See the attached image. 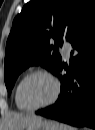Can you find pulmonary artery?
I'll use <instances>...</instances> for the list:
<instances>
[{
	"mask_svg": "<svg viewBox=\"0 0 95 130\" xmlns=\"http://www.w3.org/2000/svg\"><path fill=\"white\" fill-rule=\"evenodd\" d=\"M69 50H70V43L64 41L63 48H62L63 55L67 57L69 55Z\"/></svg>",
	"mask_w": 95,
	"mask_h": 130,
	"instance_id": "obj_1",
	"label": "pulmonary artery"
}]
</instances>
